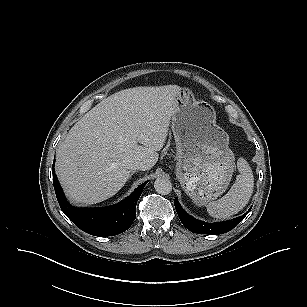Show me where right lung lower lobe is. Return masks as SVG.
Listing matches in <instances>:
<instances>
[{
  "instance_id": "obj_1",
  "label": "right lung lower lobe",
  "mask_w": 307,
  "mask_h": 307,
  "mask_svg": "<svg viewBox=\"0 0 307 307\" xmlns=\"http://www.w3.org/2000/svg\"><path fill=\"white\" fill-rule=\"evenodd\" d=\"M52 174L56 197L64 214L84 232L99 237L120 234L132 225L136 218L137 201L148 183L146 181L138 186L129 197L116 205L104 208H76L66 200L54 169Z\"/></svg>"
}]
</instances>
